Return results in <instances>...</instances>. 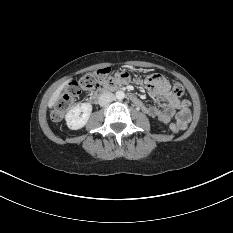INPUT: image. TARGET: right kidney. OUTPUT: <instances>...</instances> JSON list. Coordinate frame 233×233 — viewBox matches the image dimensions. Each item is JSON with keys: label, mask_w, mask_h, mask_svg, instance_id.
<instances>
[{"label": "right kidney", "mask_w": 233, "mask_h": 233, "mask_svg": "<svg viewBox=\"0 0 233 233\" xmlns=\"http://www.w3.org/2000/svg\"><path fill=\"white\" fill-rule=\"evenodd\" d=\"M92 112L90 103H80L74 106L66 115L65 120L68 128L78 130L84 127Z\"/></svg>", "instance_id": "1"}]
</instances>
